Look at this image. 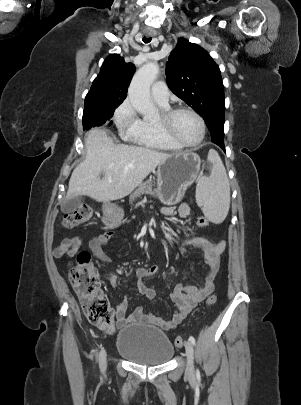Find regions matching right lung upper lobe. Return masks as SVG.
Masks as SVG:
<instances>
[{
    "mask_svg": "<svg viewBox=\"0 0 301 405\" xmlns=\"http://www.w3.org/2000/svg\"><path fill=\"white\" fill-rule=\"evenodd\" d=\"M134 71V64L126 63L118 54L110 55L93 81L85 102L105 100L112 106L120 105L127 96V88Z\"/></svg>",
    "mask_w": 301,
    "mask_h": 405,
    "instance_id": "right-lung-upper-lobe-1",
    "label": "right lung upper lobe"
}]
</instances>
